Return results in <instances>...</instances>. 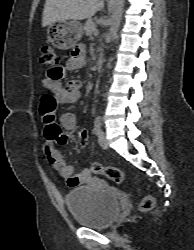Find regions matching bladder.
Here are the masks:
<instances>
[{
    "instance_id": "1",
    "label": "bladder",
    "mask_w": 194,
    "mask_h": 250,
    "mask_svg": "<svg viewBox=\"0 0 194 250\" xmlns=\"http://www.w3.org/2000/svg\"><path fill=\"white\" fill-rule=\"evenodd\" d=\"M65 202L74 221L88 228L110 226L121 209V197L117 192L98 190L91 186H80L68 191Z\"/></svg>"
}]
</instances>
